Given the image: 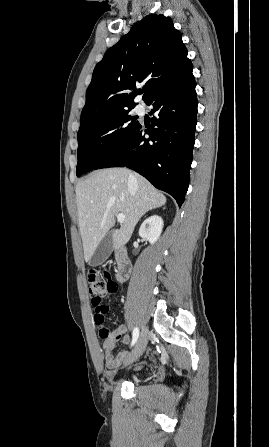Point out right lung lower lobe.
<instances>
[{
    "mask_svg": "<svg viewBox=\"0 0 269 447\" xmlns=\"http://www.w3.org/2000/svg\"><path fill=\"white\" fill-rule=\"evenodd\" d=\"M192 63L160 85L145 101L153 105L151 126L135 130L94 169L126 166L172 195L179 207L189 185L194 133L197 123L196 82ZM145 134L149 138H145Z\"/></svg>",
    "mask_w": 269,
    "mask_h": 447,
    "instance_id": "1",
    "label": "right lung lower lobe"
}]
</instances>
